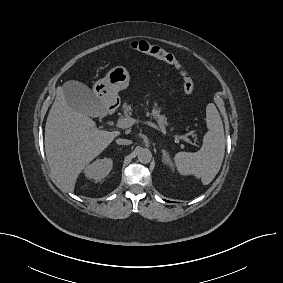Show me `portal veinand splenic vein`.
I'll use <instances>...</instances> for the list:
<instances>
[{
    "label": "portal vein and splenic vein",
    "instance_id": "1",
    "mask_svg": "<svg viewBox=\"0 0 283 283\" xmlns=\"http://www.w3.org/2000/svg\"><path fill=\"white\" fill-rule=\"evenodd\" d=\"M135 123H143V124H146L150 127H153L154 129L162 132L164 135L167 134L165 128L163 127H158L156 124H154L153 122L151 121H142V120H137V119H134L132 117H127V118H124V119H120L119 121H117L116 123V126L119 127V128H128L130 126H132L133 124ZM170 136H172L173 138H175L176 140H183L189 144H192L191 140L189 138H187L186 136L184 135H171V134H168Z\"/></svg>",
    "mask_w": 283,
    "mask_h": 283
}]
</instances>
